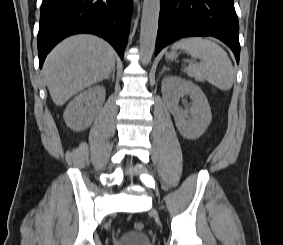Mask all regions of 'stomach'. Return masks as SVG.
Here are the masks:
<instances>
[{
	"mask_svg": "<svg viewBox=\"0 0 283 245\" xmlns=\"http://www.w3.org/2000/svg\"><path fill=\"white\" fill-rule=\"evenodd\" d=\"M177 56H178V53H176L175 51L166 53V58L167 59H176Z\"/></svg>",
	"mask_w": 283,
	"mask_h": 245,
	"instance_id": "0dacf381",
	"label": "stomach"
}]
</instances>
